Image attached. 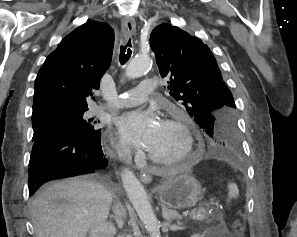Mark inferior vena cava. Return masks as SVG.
<instances>
[{"label": "inferior vena cava", "mask_w": 297, "mask_h": 237, "mask_svg": "<svg viewBox=\"0 0 297 237\" xmlns=\"http://www.w3.org/2000/svg\"><path fill=\"white\" fill-rule=\"evenodd\" d=\"M116 213L120 217H124L126 214L124 207L120 203H119V205L116 206Z\"/></svg>", "instance_id": "inferior-vena-cava-1"}]
</instances>
